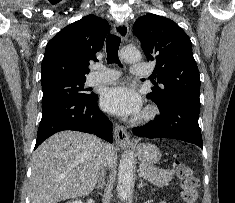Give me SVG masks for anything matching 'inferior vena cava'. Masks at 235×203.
<instances>
[{
  "instance_id": "1",
  "label": "inferior vena cava",
  "mask_w": 235,
  "mask_h": 203,
  "mask_svg": "<svg viewBox=\"0 0 235 203\" xmlns=\"http://www.w3.org/2000/svg\"><path fill=\"white\" fill-rule=\"evenodd\" d=\"M102 166H107V160H106V152H105V146H103V153H102ZM104 177V169L102 168L101 172H99V180L101 182V178ZM98 180V181H99Z\"/></svg>"
}]
</instances>
